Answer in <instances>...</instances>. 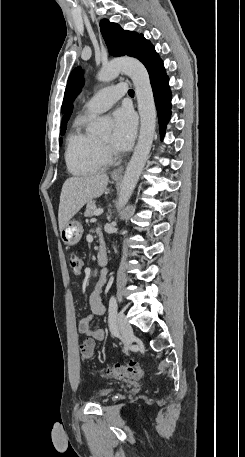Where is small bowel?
<instances>
[{"label": "small bowel", "mask_w": 245, "mask_h": 457, "mask_svg": "<svg viewBox=\"0 0 245 457\" xmlns=\"http://www.w3.org/2000/svg\"><path fill=\"white\" fill-rule=\"evenodd\" d=\"M105 282H106V276H105V273L103 272L89 296V305H90V309H91V314L82 318L78 324V331L80 334L87 336V337H91L92 339L97 340V341L104 340L105 331H104V329H101V328L93 329L91 327V321H92L93 317L100 316L105 313V306L102 302V293L104 290Z\"/></svg>", "instance_id": "c3829d8e"}]
</instances>
